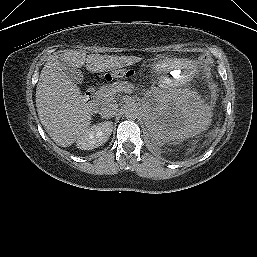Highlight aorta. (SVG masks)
Instances as JSON below:
<instances>
[{
    "label": "aorta",
    "mask_w": 257,
    "mask_h": 257,
    "mask_svg": "<svg viewBox=\"0 0 257 257\" xmlns=\"http://www.w3.org/2000/svg\"><path fill=\"white\" fill-rule=\"evenodd\" d=\"M124 115L129 120H134L138 116V109L136 107L127 106L124 110Z\"/></svg>",
    "instance_id": "1"
}]
</instances>
